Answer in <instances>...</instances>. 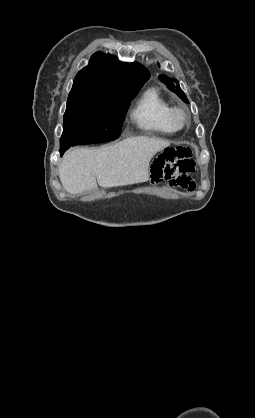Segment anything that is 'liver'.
<instances>
[{"instance_id": "liver-1", "label": "liver", "mask_w": 255, "mask_h": 418, "mask_svg": "<svg viewBox=\"0 0 255 418\" xmlns=\"http://www.w3.org/2000/svg\"><path fill=\"white\" fill-rule=\"evenodd\" d=\"M168 146V141L138 136L108 147L73 149L59 166L60 181L70 194L95 189L97 182L104 188L144 183L152 157Z\"/></svg>"}]
</instances>
